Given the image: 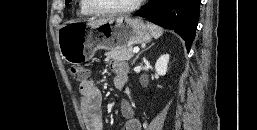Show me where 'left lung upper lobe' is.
<instances>
[{"label":"left lung upper lobe","instance_id":"1","mask_svg":"<svg viewBox=\"0 0 257 130\" xmlns=\"http://www.w3.org/2000/svg\"><path fill=\"white\" fill-rule=\"evenodd\" d=\"M66 4H68L70 2V0H65Z\"/></svg>","mask_w":257,"mask_h":130}]
</instances>
